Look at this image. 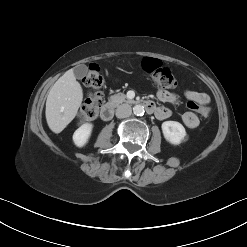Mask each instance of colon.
<instances>
[{
    "label": "colon",
    "instance_id": "5ec220e1",
    "mask_svg": "<svg viewBox=\"0 0 247 247\" xmlns=\"http://www.w3.org/2000/svg\"><path fill=\"white\" fill-rule=\"evenodd\" d=\"M141 67L157 87L162 89H172L176 87L177 80L175 76L167 67L163 66L159 59L146 57L142 60ZM82 81L86 87L92 90L79 114L80 121L85 123L95 119L99 115L102 107L103 96L100 88L103 85V76L100 72V68L96 64H91ZM187 106L189 109L196 111L204 117H208L211 114V108L207 105L189 103Z\"/></svg>",
    "mask_w": 247,
    "mask_h": 247
}]
</instances>
